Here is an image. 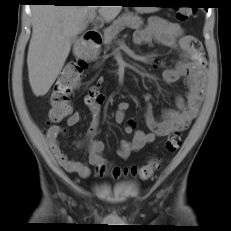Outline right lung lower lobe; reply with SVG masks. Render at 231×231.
Here are the masks:
<instances>
[{"label":"right lung lower lobe","mask_w":231,"mask_h":231,"mask_svg":"<svg viewBox=\"0 0 231 231\" xmlns=\"http://www.w3.org/2000/svg\"><path fill=\"white\" fill-rule=\"evenodd\" d=\"M73 0H28L34 4L40 3H54L55 5H80L79 3L72 2Z\"/></svg>","instance_id":"1"}]
</instances>
